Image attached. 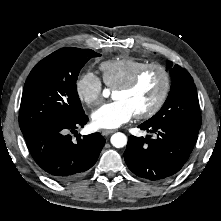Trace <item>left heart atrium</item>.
<instances>
[{
    "mask_svg": "<svg viewBox=\"0 0 221 221\" xmlns=\"http://www.w3.org/2000/svg\"><path fill=\"white\" fill-rule=\"evenodd\" d=\"M135 113L123 100L101 105L92 113V124L97 129H114L128 122Z\"/></svg>",
    "mask_w": 221,
    "mask_h": 221,
    "instance_id": "1",
    "label": "left heart atrium"
}]
</instances>
